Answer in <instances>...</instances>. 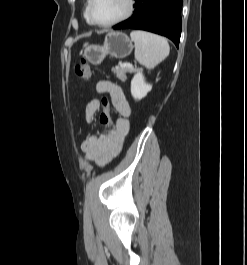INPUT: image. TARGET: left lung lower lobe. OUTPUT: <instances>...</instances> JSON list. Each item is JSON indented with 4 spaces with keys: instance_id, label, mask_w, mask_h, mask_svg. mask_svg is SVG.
I'll use <instances>...</instances> for the list:
<instances>
[{
    "instance_id": "obj_1",
    "label": "left lung lower lobe",
    "mask_w": 247,
    "mask_h": 265,
    "mask_svg": "<svg viewBox=\"0 0 247 265\" xmlns=\"http://www.w3.org/2000/svg\"><path fill=\"white\" fill-rule=\"evenodd\" d=\"M182 0H136L131 18L114 29H140L171 39L178 47L181 35Z\"/></svg>"
}]
</instances>
